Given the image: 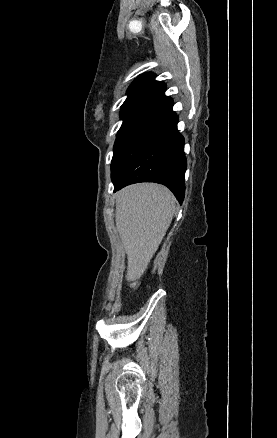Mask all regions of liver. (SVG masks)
Wrapping results in <instances>:
<instances>
[{"instance_id": "1", "label": "liver", "mask_w": 277, "mask_h": 438, "mask_svg": "<svg viewBox=\"0 0 277 438\" xmlns=\"http://www.w3.org/2000/svg\"><path fill=\"white\" fill-rule=\"evenodd\" d=\"M175 202L160 184H134L117 192L115 222L127 254L128 282L146 272L172 222Z\"/></svg>"}]
</instances>
